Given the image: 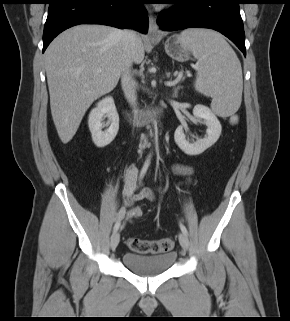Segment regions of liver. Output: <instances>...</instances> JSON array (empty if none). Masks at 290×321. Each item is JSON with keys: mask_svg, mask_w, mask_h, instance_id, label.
Instances as JSON below:
<instances>
[{"mask_svg": "<svg viewBox=\"0 0 290 321\" xmlns=\"http://www.w3.org/2000/svg\"><path fill=\"white\" fill-rule=\"evenodd\" d=\"M144 55L140 36L128 54L121 30L105 25H77L50 43L45 52L50 108L64 144L73 138L90 105L116 87L127 60L140 64Z\"/></svg>", "mask_w": 290, "mask_h": 321, "instance_id": "1", "label": "liver"}]
</instances>
